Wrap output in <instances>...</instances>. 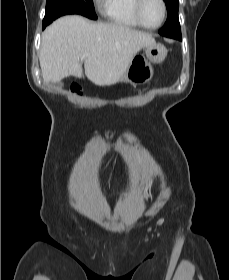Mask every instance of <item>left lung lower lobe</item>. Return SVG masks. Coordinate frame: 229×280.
<instances>
[{"mask_svg": "<svg viewBox=\"0 0 229 280\" xmlns=\"http://www.w3.org/2000/svg\"><path fill=\"white\" fill-rule=\"evenodd\" d=\"M176 39L181 40L182 38H181V36H180V37H178V38H176Z\"/></svg>", "mask_w": 229, "mask_h": 280, "instance_id": "obj_1", "label": "left lung lower lobe"}]
</instances>
